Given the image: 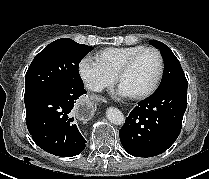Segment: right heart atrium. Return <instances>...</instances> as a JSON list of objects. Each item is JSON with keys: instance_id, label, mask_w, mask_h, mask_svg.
Segmentation results:
<instances>
[{"instance_id": "1", "label": "right heart atrium", "mask_w": 209, "mask_h": 179, "mask_svg": "<svg viewBox=\"0 0 209 179\" xmlns=\"http://www.w3.org/2000/svg\"><path fill=\"white\" fill-rule=\"evenodd\" d=\"M79 72L86 87L94 92L109 87L113 82V78L106 74L96 61L87 57L81 60Z\"/></svg>"}]
</instances>
